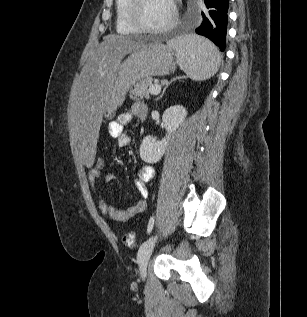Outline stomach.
I'll return each mask as SVG.
<instances>
[{"label": "stomach", "mask_w": 307, "mask_h": 317, "mask_svg": "<svg viewBox=\"0 0 307 317\" xmlns=\"http://www.w3.org/2000/svg\"><path fill=\"white\" fill-rule=\"evenodd\" d=\"M177 62L169 46L161 43L144 45L122 61L114 75L113 85L105 103L104 115L112 118L125 100L129 89L138 81L164 76L175 71Z\"/></svg>", "instance_id": "1"}]
</instances>
